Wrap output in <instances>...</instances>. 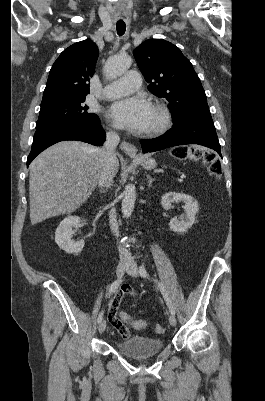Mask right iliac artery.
<instances>
[{
    "label": "right iliac artery",
    "instance_id": "82829eb1",
    "mask_svg": "<svg viewBox=\"0 0 265 401\" xmlns=\"http://www.w3.org/2000/svg\"><path fill=\"white\" fill-rule=\"evenodd\" d=\"M122 283V279H117L115 280L109 288V293L112 294L114 292H116V290L118 289V287L120 286V284ZM103 320V311L100 312L97 322L100 323Z\"/></svg>",
    "mask_w": 265,
    "mask_h": 401
}]
</instances>
